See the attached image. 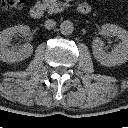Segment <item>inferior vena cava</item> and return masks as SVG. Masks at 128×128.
<instances>
[{
    "label": "inferior vena cava",
    "mask_w": 128,
    "mask_h": 128,
    "mask_svg": "<svg viewBox=\"0 0 128 128\" xmlns=\"http://www.w3.org/2000/svg\"><path fill=\"white\" fill-rule=\"evenodd\" d=\"M55 25H56V22L53 19H48L45 22V28L48 29V30L54 28Z\"/></svg>",
    "instance_id": "obj_1"
}]
</instances>
